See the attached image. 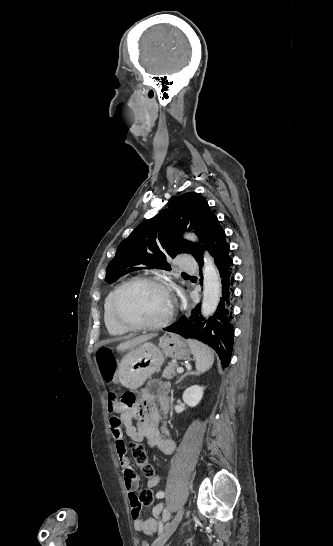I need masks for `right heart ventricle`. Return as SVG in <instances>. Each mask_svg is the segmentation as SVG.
Masks as SVG:
<instances>
[{
	"instance_id": "e07e8e85",
	"label": "right heart ventricle",
	"mask_w": 333,
	"mask_h": 546,
	"mask_svg": "<svg viewBox=\"0 0 333 546\" xmlns=\"http://www.w3.org/2000/svg\"><path fill=\"white\" fill-rule=\"evenodd\" d=\"M117 287L118 286L113 288L107 294V296H106V298L104 300V303H103V320H104V324H105L109 334L112 335V336L119 337V336L125 335L127 333V330H125L124 328L119 326L116 323V321L114 320L113 315H112V310H111L112 299H113V296H114V293H115Z\"/></svg>"
}]
</instances>
